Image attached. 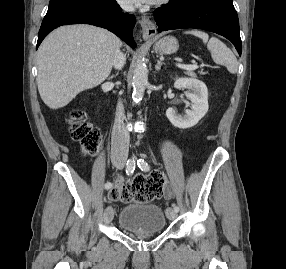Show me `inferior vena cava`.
Here are the masks:
<instances>
[{"instance_id":"1","label":"inferior vena cava","mask_w":286,"mask_h":269,"mask_svg":"<svg viewBox=\"0 0 286 269\" xmlns=\"http://www.w3.org/2000/svg\"><path fill=\"white\" fill-rule=\"evenodd\" d=\"M126 11H132L133 6L131 4L124 3L121 5ZM125 55L118 50L114 56L113 64L117 69H121L125 64ZM124 120V108L119 102L116 109L115 122L112 130L111 137V158L113 161L124 163L128 158L129 151V133L122 126Z\"/></svg>"}]
</instances>
